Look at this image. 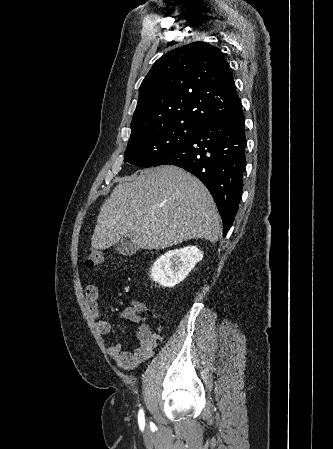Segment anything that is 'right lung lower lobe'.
<instances>
[{
  "label": "right lung lower lobe",
  "mask_w": 333,
  "mask_h": 449,
  "mask_svg": "<svg viewBox=\"0 0 333 449\" xmlns=\"http://www.w3.org/2000/svg\"><path fill=\"white\" fill-rule=\"evenodd\" d=\"M245 117L241 101L203 124L156 166L170 164L198 177L211 192L223 221V236L232 226L242 195L245 168Z\"/></svg>",
  "instance_id": "obj_1"
}]
</instances>
